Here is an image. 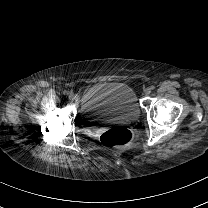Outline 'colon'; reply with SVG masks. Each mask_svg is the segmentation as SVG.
<instances>
[{"label":"colon","mask_w":208,"mask_h":208,"mask_svg":"<svg viewBox=\"0 0 208 208\" xmlns=\"http://www.w3.org/2000/svg\"><path fill=\"white\" fill-rule=\"evenodd\" d=\"M102 142L107 147H119L127 145L131 140V133L129 130L116 127L105 131L102 134Z\"/></svg>","instance_id":"5ec220e1"}]
</instances>
